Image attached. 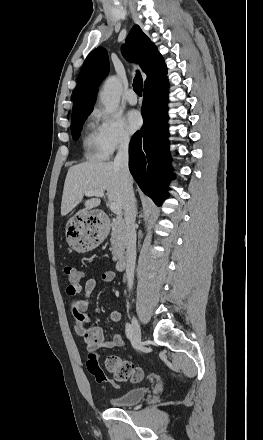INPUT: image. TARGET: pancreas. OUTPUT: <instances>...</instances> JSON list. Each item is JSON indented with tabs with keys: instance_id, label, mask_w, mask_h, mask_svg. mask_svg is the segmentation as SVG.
Segmentation results:
<instances>
[{
	"instance_id": "obj_1",
	"label": "pancreas",
	"mask_w": 263,
	"mask_h": 440,
	"mask_svg": "<svg viewBox=\"0 0 263 440\" xmlns=\"http://www.w3.org/2000/svg\"><path fill=\"white\" fill-rule=\"evenodd\" d=\"M111 252L113 261L120 259L123 248L125 246V226L124 221L120 218L113 219L111 223Z\"/></svg>"
}]
</instances>
